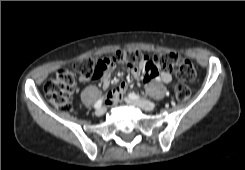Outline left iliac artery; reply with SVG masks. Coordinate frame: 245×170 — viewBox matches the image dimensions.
I'll list each match as a JSON object with an SVG mask.
<instances>
[{
    "label": "left iliac artery",
    "instance_id": "1",
    "mask_svg": "<svg viewBox=\"0 0 245 170\" xmlns=\"http://www.w3.org/2000/svg\"><path fill=\"white\" fill-rule=\"evenodd\" d=\"M129 98H131V99H139L140 98V96H138V95H136L135 93H130L129 94ZM142 101L146 104V105H149V101L148 100H145V99H142Z\"/></svg>",
    "mask_w": 245,
    "mask_h": 170
}]
</instances>
